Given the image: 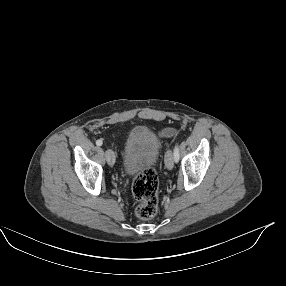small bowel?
<instances>
[{"instance_id": "small-bowel-1", "label": "small bowel", "mask_w": 286, "mask_h": 286, "mask_svg": "<svg viewBox=\"0 0 286 286\" xmlns=\"http://www.w3.org/2000/svg\"><path fill=\"white\" fill-rule=\"evenodd\" d=\"M177 130L175 128H166L162 130L161 136L165 138H173L176 136Z\"/></svg>"}]
</instances>
